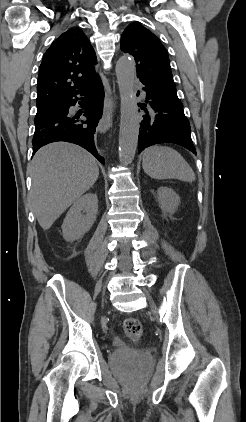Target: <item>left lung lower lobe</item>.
<instances>
[{
	"label": "left lung lower lobe",
	"mask_w": 246,
	"mask_h": 422,
	"mask_svg": "<svg viewBox=\"0 0 246 422\" xmlns=\"http://www.w3.org/2000/svg\"><path fill=\"white\" fill-rule=\"evenodd\" d=\"M142 82V81H141ZM146 103L141 121L138 151L159 143L179 144L196 154L190 135V124L183 111V104L173 100L152 85L142 82Z\"/></svg>",
	"instance_id": "0a47b994"
}]
</instances>
